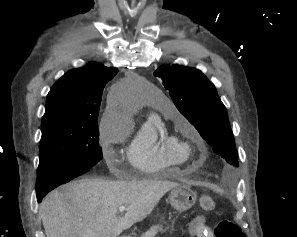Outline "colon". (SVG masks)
Wrapping results in <instances>:
<instances>
[{
	"mask_svg": "<svg viewBox=\"0 0 297 237\" xmlns=\"http://www.w3.org/2000/svg\"><path fill=\"white\" fill-rule=\"evenodd\" d=\"M200 206L205 211L215 208V200L209 194H202L199 198ZM215 237H245L242 229L230 220H221L214 227Z\"/></svg>",
	"mask_w": 297,
	"mask_h": 237,
	"instance_id": "5ec220e1",
	"label": "colon"
}]
</instances>
